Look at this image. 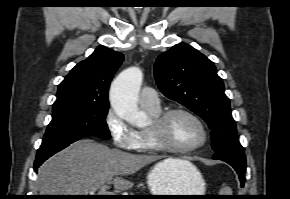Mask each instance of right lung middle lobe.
<instances>
[{
	"label": "right lung middle lobe",
	"instance_id": "dd1d6c3e",
	"mask_svg": "<svg viewBox=\"0 0 290 199\" xmlns=\"http://www.w3.org/2000/svg\"><path fill=\"white\" fill-rule=\"evenodd\" d=\"M108 108L109 104H69L53 108L52 121L39 149L71 144L86 136L109 139L105 121Z\"/></svg>",
	"mask_w": 290,
	"mask_h": 199
}]
</instances>
